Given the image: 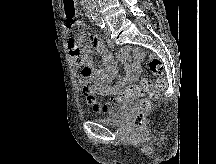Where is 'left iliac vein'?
I'll list each match as a JSON object with an SVG mask.
<instances>
[{
    "label": "left iliac vein",
    "instance_id": "left-iliac-vein-1",
    "mask_svg": "<svg viewBox=\"0 0 216 164\" xmlns=\"http://www.w3.org/2000/svg\"><path fill=\"white\" fill-rule=\"evenodd\" d=\"M103 31H104L105 35H107V36L110 35V33H111L110 28L108 26H106Z\"/></svg>",
    "mask_w": 216,
    "mask_h": 164
}]
</instances>
